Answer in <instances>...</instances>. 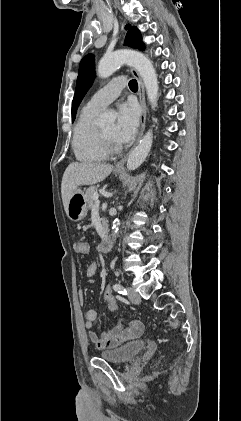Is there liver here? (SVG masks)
Instances as JSON below:
<instances>
[{
	"mask_svg": "<svg viewBox=\"0 0 241 421\" xmlns=\"http://www.w3.org/2000/svg\"><path fill=\"white\" fill-rule=\"evenodd\" d=\"M112 170L113 166L110 164L70 163L63 174L61 183V195L65 212L67 213L70 197L79 186L101 182Z\"/></svg>",
	"mask_w": 241,
	"mask_h": 421,
	"instance_id": "6515ba94",
	"label": "liver"
}]
</instances>
